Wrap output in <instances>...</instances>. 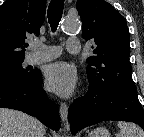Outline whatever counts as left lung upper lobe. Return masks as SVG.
<instances>
[{"mask_svg":"<svg viewBox=\"0 0 144 137\" xmlns=\"http://www.w3.org/2000/svg\"><path fill=\"white\" fill-rule=\"evenodd\" d=\"M83 38L93 40L87 58L89 89H136L131 76L130 35L125 18L104 0H78Z\"/></svg>","mask_w":144,"mask_h":137,"instance_id":"obj_1","label":"left lung upper lobe"}]
</instances>
